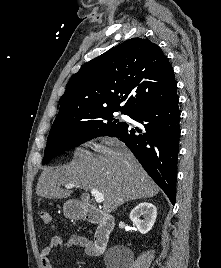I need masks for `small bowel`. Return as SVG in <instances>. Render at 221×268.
Listing matches in <instances>:
<instances>
[{
    "label": "small bowel",
    "mask_w": 221,
    "mask_h": 268,
    "mask_svg": "<svg viewBox=\"0 0 221 268\" xmlns=\"http://www.w3.org/2000/svg\"><path fill=\"white\" fill-rule=\"evenodd\" d=\"M71 247L82 248L85 253L90 256L97 255L93 242L85 236L76 234H72L67 238H63L61 236H54L51 238L48 245L45 246L40 252L42 268H53L51 256L54 249Z\"/></svg>",
    "instance_id": "c3829d8e"
}]
</instances>
